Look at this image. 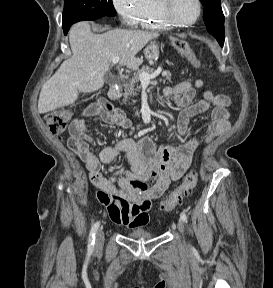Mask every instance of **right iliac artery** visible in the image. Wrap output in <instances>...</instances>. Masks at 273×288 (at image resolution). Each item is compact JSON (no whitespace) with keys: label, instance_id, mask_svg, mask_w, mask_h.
Listing matches in <instances>:
<instances>
[{"label":"right iliac artery","instance_id":"1","mask_svg":"<svg viewBox=\"0 0 273 288\" xmlns=\"http://www.w3.org/2000/svg\"><path fill=\"white\" fill-rule=\"evenodd\" d=\"M100 222H96L93 224L90 234H89V241H88V253L91 254L94 250V244H95V235L99 228Z\"/></svg>","mask_w":273,"mask_h":288}]
</instances>
